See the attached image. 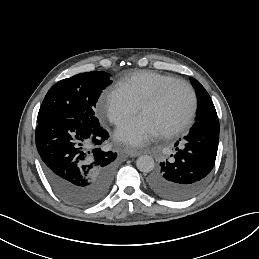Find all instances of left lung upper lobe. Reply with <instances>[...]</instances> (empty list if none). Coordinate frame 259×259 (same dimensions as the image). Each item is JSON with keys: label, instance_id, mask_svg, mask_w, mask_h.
<instances>
[{"label": "left lung upper lobe", "instance_id": "left-lung-upper-lobe-1", "mask_svg": "<svg viewBox=\"0 0 259 259\" xmlns=\"http://www.w3.org/2000/svg\"><path fill=\"white\" fill-rule=\"evenodd\" d=\"M191 83L197 95L198 110L196 121L201 118L217 116L214 104L205 88L194 78H191Z\"/></svg>", "mask_w": 259, "mask_h": 259}]
</instances>
